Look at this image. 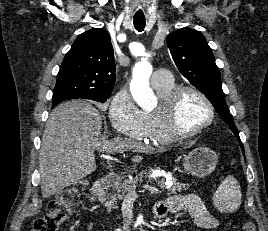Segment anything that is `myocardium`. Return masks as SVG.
I'll list each match as a JSON object with an SVG mask.
<instances>
[{"instance_id": "myocardium-1", "label": "myocardium", "mask_w": 268, "mask_h": 231, "mask_svg": "<svg viewBox=\"0 0 268 231\" xmlns=\"http://www.w3.org/2000/svg\"><path fill=\"white\" fill-rule=\"evenodd\" d=\"M186 92L196 94L203 100L208 109L207 120L191 131L180 130L177 123V106L180 98ZM158 111L162 116L166 133L173 139H187L199 135L213 123L215 118L213 103L204 92L194 86H179L175 88L162 102L159 103Z\"/></svg>"}]
</instances>
